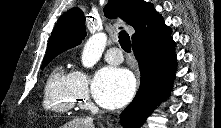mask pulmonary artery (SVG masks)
Masks as SVG:
<instances>
[{
	"label": "pulmonary artery",
	"mask_w": 221,
	"mask_h": 128,
	"mask_svg": "<svg viewBox=\"0 0 221 128\" xmlns=\"http://www.w3.org/2000/svg\"><path fill=\"white\" fill-rule=\"evenodd\" d=\"M107 63L112 65H119L123 61V55L119 48L111 47L108 49L104 56Z\"/></svg>",
	"instance_id": "pulmonary-artery-1"
}]
</instances>
